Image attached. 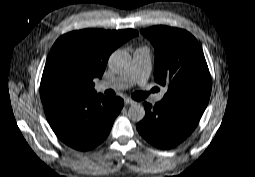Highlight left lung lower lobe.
Segmentation results:
<instances>
[{
  "label": "left lung lower lobe",
  "instance_id": "0a47b994",
  "mask_svg": "<svg viewBox=\"0 0 255 177\" xmlns=\"http://www.w3.org/2000/svg\"><path fill=\"white\" fill-rule=\"evenodd\" d=\"M145 118L137 124L141 136L152 145L168 149L186 139L198 124L206 106L162 99L154 106L144 103Z\"/></svg>",
  "mask_w": 255,
  "mask_h": 177
}]
</instances>
